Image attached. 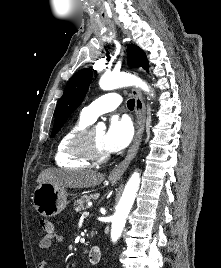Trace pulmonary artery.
I'll return each mask as SVG.
<instances>
[{"label": "pulmonary artery", "mask_w": 221, "mask_h": 268, "mask_svg": "<svg viewBox=\"0 0 221 268\" xmlns=\"http://www.w3.org/2000/svg\"><path fill=\"white\" fill-rule=\"evenodd\" d=\"M122 98L117 93L105 94L89 106L82 109L81 115L91 122H94L99 115L115 110L121 103Z\"/></svg>", "instance_id": "pulmonary-artery-1"}]
</instances>
